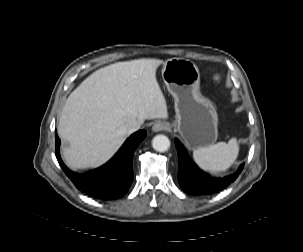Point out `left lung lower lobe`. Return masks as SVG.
Instances as JSON below:
<instances>
[{"mask_svg": "<svg viewBox=\"0 0 303 252\" xmlns=\"http://www.w3.org/2000/svg\"><path fill=\"white\" fill-rule=\"evenodd\" d=\"M175 145L178 152V181L188 194L204 195L222 191L236 180L244 167L241 164L235 173L224 178H213L196 166L178 139H175Z\"/></svg>", "mask_w": 303, "mask_h": 252, "instance_id": "obj_1", "label": "left lung lower lobe"}]
</instances>
